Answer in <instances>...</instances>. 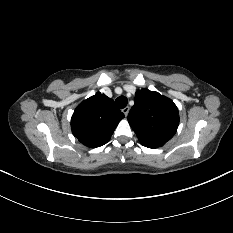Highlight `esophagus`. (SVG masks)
I'll return each instance as SVG.
<instances>
[{
	"mask_svg": "<svg viewBox=\"0 0 233 233\" xmlns=\"http://www.w3.org/2000/svg\"><path fill=\"white\" fill-rule=\"evenodd\" d=\"M129 110H130L129 107L127 106V107L122 109V112L124 113L125 116H127L129 113Z\"/></svg>",
	"mask_w": 233,
	"mask_h": 233,
	"instance_id": "1",
	"label": "esophagus"
}]
</instances>
